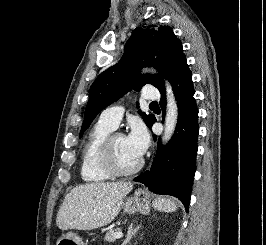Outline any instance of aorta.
<instances>
[{
	"instance_id": "762f6f07",
	"label": "aorta",
	"mask_w": 266,
	"mask_h": 245,
	"mask_svg": "<svg viewBox=\"0 0 266 245\" xmlns=\"http://www.w3.org/2000/svg\"><path fill=\"white\" fill-rule=\"evenodd\" d=\"M165 88H166L167 106H166L164 133L162 137L164 145H166V143L170 141L171 137H173L178 120V106L176 98L174 96V92L172 90V86L170 82H168V80H165Z\"/></svg>"
}]
</instances>
